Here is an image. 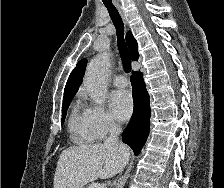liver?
Instances as JSON below:
<instances>
[{"label": "liver", "instance_id": "obj_1", "mask_svg": "<svg viewBox=\"0 0 224 188\" xmlns=\"http://www.w3.org/2000/svg\"><path fill=\"white\" fill-rule=\"evenodd\" d=\"M130 150L104 144L79 145L60 154L54 188H83L97 178L108 179L118 174L128 163Z\"/></svg>", "mask_w": 224, "mask_h": 188}]
</instances>
